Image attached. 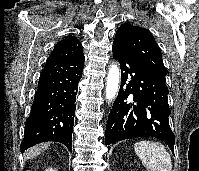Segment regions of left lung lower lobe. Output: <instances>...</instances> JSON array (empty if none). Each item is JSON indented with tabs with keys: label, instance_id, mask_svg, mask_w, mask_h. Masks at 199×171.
<instances>
[{
	"label": "left lung lower lobe",
	"instance_id": "obj_1",
	"mask_svg": "<svg viewBox=\"0 0 199 171\" xmlns=\"http://www.w3.org/2000/svg\"><path fill=\"white\" fill-rule=\"evenodd\" d=\"M113 58L121 67V86L109 114L105 145L120 140L156 137L174 153L175 136L169 126L170 108L165 76L113 44Z\"/></svg>",
	"mask_w": 199,
	"mask_h": 171
}]
</instances>
